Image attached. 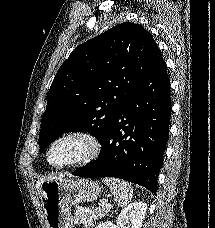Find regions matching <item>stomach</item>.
Masks as SVG:
<instances>
[{"mask_svg": "<svg viewBox=\"0 0 215 228\" xmlns=\"http://www.w3.org/2000/svg\"><path fill=\"white\" fill-rule=\"evenodd\" d=\"M102 192V186L94 180L59 178L43 182L41 200L47 228H71L69 206L94 202L100 198Z\"/></svg>", "mask_w": 215, "mask_h": 228, "instance_id": "1", "label": "stomach"}]
</instances>
